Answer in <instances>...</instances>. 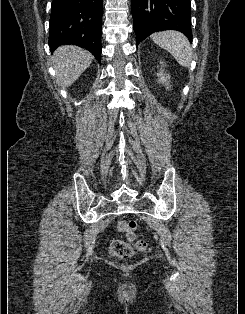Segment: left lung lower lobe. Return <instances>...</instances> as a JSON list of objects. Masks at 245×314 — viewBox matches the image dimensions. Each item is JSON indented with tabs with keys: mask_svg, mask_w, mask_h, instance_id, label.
<instances>
[{
	"mask_svg": "<svg viewBox=\"0 0 245 314\" xmlns=\"http://www.w3.org/2000/svg\"><path fill=\"white\" fill-rule=\"evenodd\" d=\"M190 0H131L137 45L156 31L173 29L192 40Z\"/></svg>",
	"mask_w": 245,
	"mask_h": 314,
	"instance_id": "left-lung-lower-lobe-1",
	"label": "left lung lower lobe"
}]
</instances>
